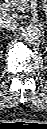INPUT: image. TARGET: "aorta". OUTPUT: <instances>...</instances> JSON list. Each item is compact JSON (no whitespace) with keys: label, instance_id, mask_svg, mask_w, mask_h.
Listing matches in <instances>:
<instances>
[{"label":"aorta","instance_id":"762f6f07","mask_svg":"<svg viewBox=\"0 0 47 129\" xmlns=\"http://www.w3.org/2000/svg\"><path fill=\"white\" fill-rule=\"evenodd\" d=\"M22 37L29 45L38 44L42 40V32L37 26L29 25L23 29Z\"/></svg>","mask_w":47,"mask_h":129}]
</instances>
